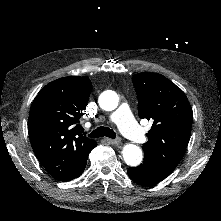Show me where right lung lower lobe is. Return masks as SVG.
I'll list each match as a JSON object with an SVG mask.
<instances>
[{
  "instance_id": "obj_1",
  "label": "right lung lower lobe",
  "mask_w": 221,
  "mask_h": 221,
  "mask_svg": "<svg viewBox=\"0 0 221 221\" xmlns=\"http://www.w3.org/2000/svg\"><path fill=\"white\" fill-rule=\"evenodd\" d=\"M86 162H87V159L78 167V169L76 171H74L72 174H70L66 179H64L62 181H69V180H72V179L80 176L85 169Z\"/></svg>"
}]
</instances>
